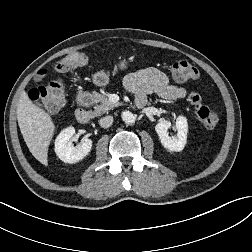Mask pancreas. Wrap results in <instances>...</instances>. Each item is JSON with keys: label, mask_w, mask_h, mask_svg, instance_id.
Returning a JSON list of instances; mask_svg holds the SVG:
<instances>
[{"label": "pancreas", "mask_w": 252, "mask_h": 252, "mask_svg": "<svg viewBox=\"0 0 252 252\" xmlns=\"http://www.w3.org/2000/svg\"><path fill=\"white\" fill-rule=\"evenodd\" d=\"M95 102L99 103L94 107V116H100L104 113H107L109 110L117 107V103L111 102L106 96H102L98 93L94 94Z\"/></svg>", "instance_id": "obj_1"}]
</instances>
